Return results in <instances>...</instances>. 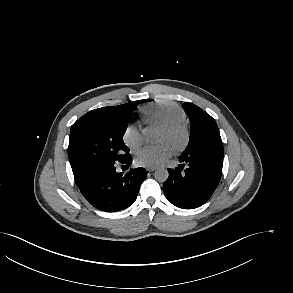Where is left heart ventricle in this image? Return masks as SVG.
<instances>
[{"instance_id":"obj_1","label":"left heart ventricle","mask_w":293,"mask_h":293,"mask_svg":"<svg viewBox=\"0 0 293 293\" xmlns=\"http://www.w3.org/2000/svg\"><path fill=\"white\" fill-rule=\"evenodd\" d=\"M179 139H180V136L171 137L170 135H168L167 133H165L162 130L160 132V136H159L160 142H168L169 144H171L173 146L175 144V142L179 141Z\"/></svg>"}]
</instances>
